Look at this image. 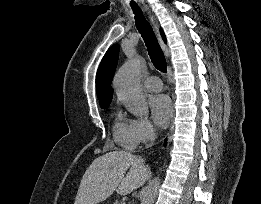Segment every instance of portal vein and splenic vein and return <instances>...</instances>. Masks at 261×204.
Here are the masks:
<instances>
[{"instance_id": "portal-vein-and-splenic-vein-1", "label": "portal vein and splenic vein", "mask_w": 261, "mask_h": 204, "mask_svg": "<svg viewBox=\"0 0 261 204\" xmlns=\"http://www.w3.org/2000/svg\"><path fill=\"white\" fill-rule=\"evenodd\" d=\"M120 204H126L125 202H121Z\"/></svg>"}]
</instances>
